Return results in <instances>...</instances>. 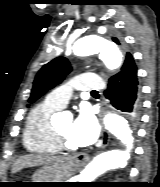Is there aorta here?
I'll return each instance as SVG.
<instances>
[{
    "label": "aorta",
    "instance_id": "1",
    "mask_svg": "<svg viewBox=\"0 0 160 187\" xmlns=\"http://www.w3.org/2000/svg\"><path fill=\"white\" fill-rule=\"evenodd\" d=\"M73 50L78 56L99 55L110 70L119 68L122 62L119 48L101 35H88L78 39ZM104 125L120 141V146L97 155L81 172L79 182H92L109 170L123 168L130 158L134 133L128 121L118 114L109 113L104 118Z\"/></svg>",
    "mask_w": 160,
    "mask_h": 187
}]
</instances>
